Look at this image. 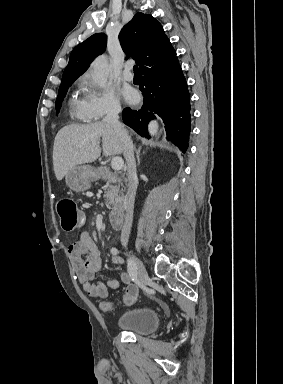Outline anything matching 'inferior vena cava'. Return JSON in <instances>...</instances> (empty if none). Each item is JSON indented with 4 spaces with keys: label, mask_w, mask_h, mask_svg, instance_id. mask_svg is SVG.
<instances>
[{
    "label": "inferior vena cava",
    "mask_w": 283,
    "mask_h": 384,
    "mask_svg": "<svg viewBox=\"0 0 283 384\" xmlns=\"http://www.w3.org/2000/svg\"><path fill=\"white\" fill-rule=\"evenodd\" d=\"M120 112H122L120 104L112 102L107 110L105 118H103V122H105V124H110L113 128H116L123 144V154L127 162L128 192L127 196H125L124 206L126 214L124 216V224L121 232V244L122 246H127L133 220L134 200L137 190V174L132 140L130 136H128L127 130H125L119 122L118 114H120Z\"/></svg>",
    "instance_id": "1"
}]
</instances>
